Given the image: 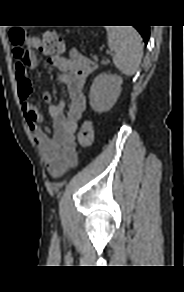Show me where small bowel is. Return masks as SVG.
I'll list each match as a JSON object with an SVG mask.
<instances>
[{"label": "small bowel", "mask_w": 184, "mask_h": 292, "mask_svg": "<svg viewBox=\"0 0 184 292\" xmlns=\"http://www.w3.org/2000/svg\"><path fill=\"white\" fill-rule=\"evenodd\" d=\"M28 47L38 48L39 40L29 39ZM47 64L60 71L59 81L66 87L68 98L67 105L62 101L50 104L49 92L44 91L41 94L42 100L49 104L48 113L53 121L52 133L41 124L43 117L38 107L30 101L32 82L28 69L37 66V58L31 50H28L25 60L17 59L15 76L27 126L42 151L49 174L58 177L77 164L75 132L85 110L86 99L83 88L88 77L96 70L97 64L91 59L80 56L75 49L67 56L50 57Z\"/></svg>", "instance_id": "obj_1"}]
</instances>
